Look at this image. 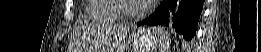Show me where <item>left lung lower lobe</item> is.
Wrapping results in <instances>:
<instances>
[{
	"mask_svg": "<svg viewBox=\"0 0 261 52\" xmlns=\"http://www.w3.org/2000/svg\"><path fill=\"white\" fill-rule=\"evenodd\" d=\"M203 4V0H182L177 6V0H163L155 12L138 22L137 26H169L190 41L196 33Z\"/></svg>",
	"mask_w": 261,
	"mask_h": 52,
	"instance_id": "left-lung-lower-lobe-1",
	"label": "left lung lower lobe"
}]
</instances>
